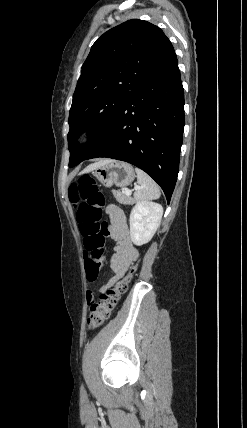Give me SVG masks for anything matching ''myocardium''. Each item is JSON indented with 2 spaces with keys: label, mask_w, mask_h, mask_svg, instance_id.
Masks as SVG:
<instances>
[{
  "label": "myocardium",
  "mask_w": 247,
  "mask_h": 428,
  "mask_svg": "<svg viewBox=\"0 0 247 428\" xmlns=\"http://www.w3.org/2000/svg\"><path fill=\"white\" fill-rule=\"evenodd\" d=\"M91 135H92V130L90 128H86L81 132L80 140L82 142H86L90 139Z\"/></svg>",
  "instance_id": "obj_1"
}]
</instances>
